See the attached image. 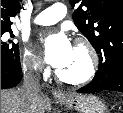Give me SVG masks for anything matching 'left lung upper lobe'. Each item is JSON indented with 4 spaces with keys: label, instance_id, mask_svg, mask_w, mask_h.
Returning a JSON list of instances; mask_svg holds the SVG:
<instances>
[{
    "label": "left lung upper lobe",
    "instance_id": "left-lung-upper-lobe-1",
    "mask_svg": "<svg viewBox=\"0 0 123 113\" xmlns=\"http://www.w3.org/2000/svg\"><path fill=\"white\" fill-rule=\"evenodd\" d=\"M72 18L100 57L98 73L109 77L123 62V0H70Z\"/></svg>",
    "mask_w": 123,
    "mask_h": 113
}]
</instances>
